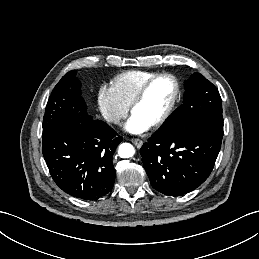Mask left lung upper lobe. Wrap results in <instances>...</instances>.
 <instances>
[{"mask_svg": "<svg viewBox=\"0 0 259 259\" xmlns=\"http://www.w3.org/2000/svg\"><path fill=\"white\" fill-rule=\"evenodd\" d=\"M185 89L183 104L160 127V133L172 134L202 117L223 119L220 94L202 74H192Z\"/></svg>", "mask_w": 259, "mask_h": 259, "instance_id": "5c2ea615", "label": "left lung upper lobe"}]
</instances>
